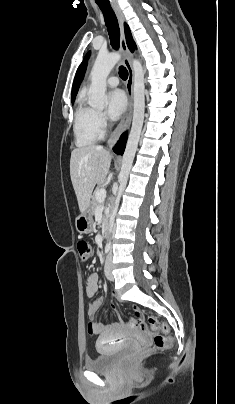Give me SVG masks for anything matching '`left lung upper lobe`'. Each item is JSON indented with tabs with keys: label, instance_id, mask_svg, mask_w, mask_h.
<instances>
[{
	"label": "left lung upper lobe",
	"instance_id": "obj_1",
	"mask_svg": "<svg viewBox=\"0 0 235 404\" xmlns=\"http://www.w3.org/2000/svg\"><path fill=\"white\" fill-rule=\"evenodd\" d=\"M89 56H90V52H88L87 55L85 56L83 63L87 60V58H88Z\"/></svg>",
	"mask_w": 235,
	"mask_h": 404
}]
</instances>
